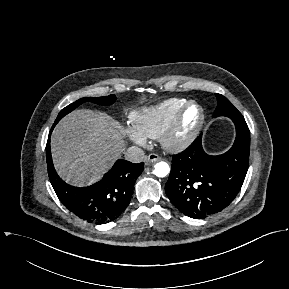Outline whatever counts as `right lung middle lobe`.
<instances>
[{
    "label": "right lung middle lobe",
    "mask_w": 289,
    "mask_h": 289,
    "mask_svg": "<svg viewBox=\"0 0 289 289\" xmlns=\"http://www.w3.org/2000/svg\"><path fill=\"white\" fill-rule=\"evenodd\" d=\"M116 100V96L115 95H109L107 97H97V98H93V97H84L81 98L77 101H75L74 103H71L70 105H68L67 107H65L64 109H62L60 111V113L58 114L54 125H56L58 123V121L64 117L66 114H68L69 112H71L72 110H74L75 108H77L80 104L84 103V102H93L99 105H111L115 102Z\"/></svg>",
    "instance_id": "1"
}]
</instances>
